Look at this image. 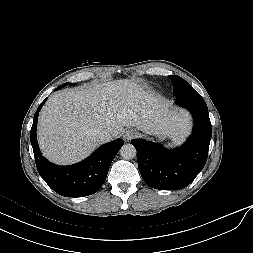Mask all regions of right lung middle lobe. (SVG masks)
<instances>
[{"mask_svg":"<svg viewBox=\"0 0 253 253\" xmlns=\"http://www.w3.org/2000/svg\"><path fill=\"white\" fill-rule=\"evenodd\" d=\"M68 83H65L64 85H67ZM62 86H59V88H61Z\"/></svg>","mask_w":253,"mask_h":253,"instance_id":"obj_1","label":"right lung middle lobe"}]
</instances>
